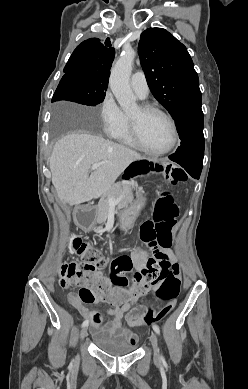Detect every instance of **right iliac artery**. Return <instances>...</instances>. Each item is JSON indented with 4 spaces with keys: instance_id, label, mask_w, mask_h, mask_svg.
I'll return each instance as SVG.
<instances>
[{
    "instance_id": "82829eb1",
    "label": "right iliac artery",
    "mask_w": 248,
    "mask_h": 389,
    "mask_svg": "<svg viewBox=\"0 0 248 389\" xmlns=\"http://www.w3.org/2000/svg\"><path fill=\"white\" fill-rule=\"evenodd\" d=\"M88 321L87 320H85L83 323H82V327H85V326H87L88 325Z\"/></svg>"
}]
</instances>
